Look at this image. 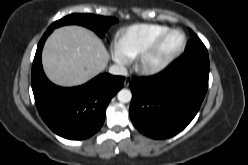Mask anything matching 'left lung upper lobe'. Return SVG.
I'll return each mask as SVG.
<instances>
[{"mask_svg":"<svg viewBox=\"0 0 248 165\" xmlns=\"http://www.w3.org/2000/svg\"><path fill=\"white\" fill-rule=\"evenodd\" d=\"M190 33L192 35V40L187 44L185 51H188L195 47H204L202 41L191 29H190Z\"/></svg>","mask_w":248,"mask_h":165,"instance_id":"1","label":"left lung upper lobe"}]
</instances>
